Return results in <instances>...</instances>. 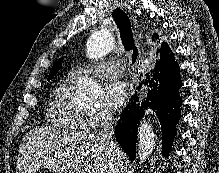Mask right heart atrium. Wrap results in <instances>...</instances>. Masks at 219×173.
<instances>
[{
	"instance_id": "obj_1",
	"label": "right heart atrium",
	"mask_w": 219,
	"mask_h": 173,
	"mask_svg": "<svg viewBox=\"0 0 219 173\" xmlns=\"http://www.w3.org/2000/svg\"><path fill=\"white\" fill-rule=\"evenodd\" d=\"M111 118L112 115L109 111L100 108L87 114V126L89 128H97L102 124L110 121Z\"/></svg>"
}]
</instances>
